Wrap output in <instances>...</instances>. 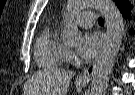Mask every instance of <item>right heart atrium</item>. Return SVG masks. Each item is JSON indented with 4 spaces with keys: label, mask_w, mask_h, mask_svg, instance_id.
Listing matches in <instances>:
<instances>
[{
    "label": "right heart atrium",
    "mask_w": 135,
    "mask_h": 95,
    "mask_svg": "<svg viewBox=\"0 0 135 95\" xmlns=\"http://www.w3.org/2000/svg\"><path fill=\"white\" fill-rule=\"evenodd\" d=\"M73 58V52L71 50H67V59Z\"/></svg>",
    "instance_id": "right-heart-atrium-1"
}]
</instances>
